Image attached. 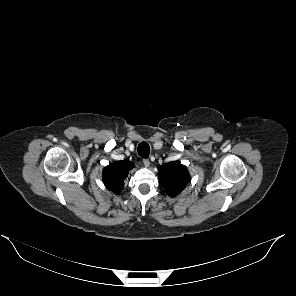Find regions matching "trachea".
Returning a JSON list of instances; mask_svg holds the SVG:
<instances>
[{"mask_svg": "<svg viewBox=\"0 0 296 296\" xmlns=\"http://www.w3.org/2000/svg\"><path fill=\"white\" fill-rule=\"evenodd\" d=\"M138 154L143 157L147 158L150 154V146L146 142H142L138 145Z\"/></svg>", "mask_w": 296, "mask_h": 296, "instance_id": "obj_1", "label": "trachea"}]
</instances>
